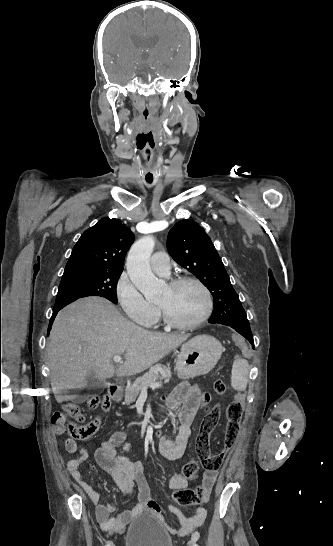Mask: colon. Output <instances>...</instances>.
<instances>
[{
  "mask_svg": "<svg viewBox=\"0 0 333 546\" xmlns=\"http://www.w3.org/2000/svg\"><path fill=\"white\" fill-rule=\"evenodd\" d=\"M213 390L217 394L224 393L226 391L224 381L221 379L215 380L213 383ZM234 398L235 400L228 405L226 410L227 425L225 430L224 448L216 454L210 452V435L218 424L220 411L218 407H212L206 410L195 443V451L198 460L191 459L183 466L182 473L186 478H191L198 474L199 464H201L206 471L211 472H216L221 468L226 453L233 448L236 442L243 414L242 402L245 398L243 391L241 389L237 391ZM209 401L210 394L205 392L202 395L201 402L203 405H206ZM99 405L103 410H108L110 407V398L108 396L99 398L95 395L88 398L87 406L89 408H96ZM63 410L65 414L73 417L81 415L79 407L73 403L65 404ZM52 425L54 430L59 434L67 432L74 439L86 440L97 432L100 426V419L95 418L88 423L78 424L75 422H68L65 415L58 412L52 416ZM173 499L181 506H189L193 503L205 502L207 495L203 486H199L196 489L181 488L174 492Z\"/></svg>",
  "mask_w": 333,
  "mask_h": 546,
  "instance_id": "obj_1",
  "label": "colon"
}]
</instances>
